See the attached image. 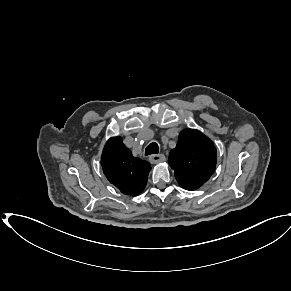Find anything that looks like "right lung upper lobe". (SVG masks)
I'll return each mask as SVG.
<instances>
[{
    "label": "right lung upper lobe",
    "mask_w": 291,
    "mask_h": 291,
    "mask_svg": "<svg viewBox=\"0 0 291 291\" xmlns=\"http://www.w3.org/2000/svg\"><path fill=\"white\" fill-rule=\"evenodd\" d=\"M104 175L123 194L136 196L147 183L150 163L134 157L121 137L110 138L101 156Z\"/></svg>",
    "instance_id": "right-lung-upper-lobe-1"
}]
</instances>
